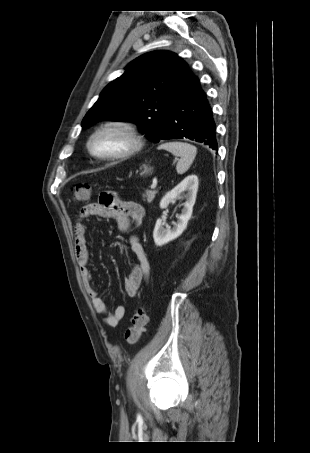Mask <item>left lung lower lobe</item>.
I'll return each instance as SVG.
<instances>
[{"mask_svg":"<svg viewBox=\"0 0 310 453\" xmlns=\"http://www.w3.org/2000/svg\"><path fill=\"white\" fill-rule=\"evenodd\" d=\"M183 138L217 150L213 112L198 78L191 71L177 104L168 116L160 140Z\"/></svg>","mask_w":310,"mask_h":453,"instance_id":"obj_1","label":"left lung lower lobe"}]
</instances>
